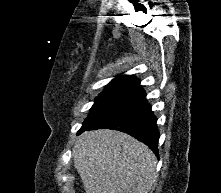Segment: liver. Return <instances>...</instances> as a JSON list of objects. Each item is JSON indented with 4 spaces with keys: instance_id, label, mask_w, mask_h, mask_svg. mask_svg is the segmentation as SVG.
<instances>
[{
    "instance_id": "1",
    "label": "liver",
    "mask_w": 221,
    "mask_h": 193,
    "mask_svg": "<svg viewBox=\"0 0 221 193\" xmlns=\"http://www.w3.org/2000/svg\"><path fill=\"white\" fill-rule=\"evenodd\" d=\"M73 158L86 193H148L156 180L153 152L123 132L98 129L82 133Z\"/></svg>"
}]
</instances>
